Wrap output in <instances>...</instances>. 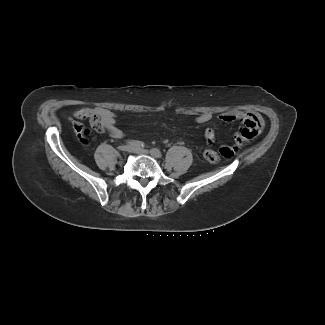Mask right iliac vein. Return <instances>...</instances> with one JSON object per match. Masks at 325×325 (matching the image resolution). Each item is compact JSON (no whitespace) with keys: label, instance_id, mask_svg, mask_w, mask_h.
I'll list each match as a JSON object with an SVG mask.
<instances>
[{"label":"right iliac vein","instance_id":"obj_1","mask_svg":"<svg viewBox=\"0 0 325 325\" xmlns=\"http://www.w3.org/2000/svg\"><path fill=\"white\" fill-rule=\"evenodd\" d=\"M119 149L123 152H132L133 147L130 145H122L119 147Z\"/></svg>","mask_w":325,"mask_h":325}]
</instances>
